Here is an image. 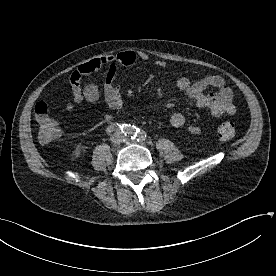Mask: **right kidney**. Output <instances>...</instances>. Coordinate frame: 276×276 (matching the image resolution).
Wrapping results in <instances>:
<instances>
[{
    "label": "right kidney",
    "mask_w": 276,
    "mask_h": 276,
    "mask_svg": "<svg viewBox=\"0 0 276 276\" xmlns=\"http://www.w3.org/2000/svg\"><path fill=\"white\" fill-rule=\"evenodd\" d=\"M80 155H81V149H80V148H76V149L74 150V156H75L76 158H78V157H80Z\"/></svg>",
    "instance_id": "right-kidney-1"
}]
</instances>
